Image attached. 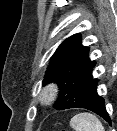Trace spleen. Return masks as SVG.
Returning <instances> with one entry per match:
<instances>
[{
	"label": "spleen",
	"instance_id": "obj_1",
	"mask_svg": "<svg viewBox=\"0 0 117 131\" xmlns=\"http://www.w3.org/2000/svg\"><path fill=\"white\" fill-rule=\"evenodd\" d=\"M70 126L75 131H104L101 121L95 115L88 112L73 116L70 120Z\"/></svg>",
	"mask_w": 117,
	"mask_h": 131
}]
</instances>
